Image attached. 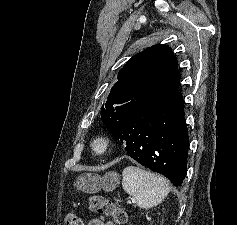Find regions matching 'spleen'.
I'll return each mask as SVG.
<instances>
[{
  "mask_svg": "<svg viewBox=\"0 0 237 225\" xmlns=\"http://www.w3.org/2000/svg\"><path fill=\"white\" fill-rule=\"evenodd\" d=\"M122 176L123 189L135 198L140 208L157 206L170 192L169 182L165 178L139 167L124 168Z\"/></svg>",
  "mask_w": 237,
  "mask_h": 225,
  "instance_id": "spleen-1",
  "label": "spleen"
}]
</instances>
